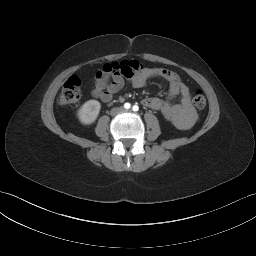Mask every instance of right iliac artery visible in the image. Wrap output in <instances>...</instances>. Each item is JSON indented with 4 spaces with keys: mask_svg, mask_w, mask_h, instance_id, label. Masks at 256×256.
Wrapping results in <instances>:
<instances>
[{
    "mask_svg": "<svg viewBox=\"0 0 256 256\" xmlns=\"http://www.w3.org/2000/svg\"><path fill=\"white\" fill-rule=\"evenodd\" d=\"M130 107H131V104H130V103H125V104H124V108H125V109H130Z\"/></svg>",
    "mask_w": 256,
    "mask_h": 256,
    "instance_id": "obj_1",
    "label": "right iliac artery"
}]
</instances>
